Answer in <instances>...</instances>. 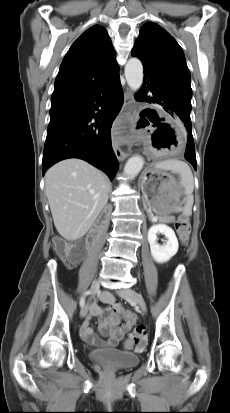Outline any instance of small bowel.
I'll return each instance as SVG.
<instances>
[{
	"mask_svg": "<svg viewBox=\"0 0 230 413\" xmlns=\"http://www.w3.org/2000/svg\"><path fill=\"white\" fill-rule=\"evenodd\" d=\"M102 301L114 307L115 298L107 291H103L100 295ZM92 316L100 318L99 329L103 336H108L107 340H101L93 334L90 327ZM136 322V316L130 311H125L121 315L113 312L109 307L103 309L97 303L90 306V314L87 316L81 326V336L83 340L92 346L105 348H114L124 338L125 334L132 328ZM131 342H125V348L129 349Z\"/></svg>",
	"mask_w": 230,
	"mask_h": 413,
	"instance_id": "obj_1",
	"label": "small bowel"
}]
</instances>
